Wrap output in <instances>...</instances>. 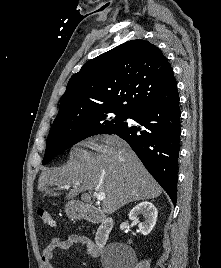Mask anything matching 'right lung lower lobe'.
<instances>
[{
  "instance_id": "98d812e1",
  "label": "right lung lower lobe",
  "mask_w": 221,
  "mask_h": 268,
  "mask_svg": "<svg viewBox=\"0 0 221 268\" xmlns=\"http://www.w3.org/2000/svg\"><path fill=\"white\" fill-rule=\"evenodd\" d=\"M180 108L176 97L136 112L128 123L109 131L124 139L138 155L149 173L171 198L177 200V169L180 149Z\"/></svg>"
}]
</instances>
